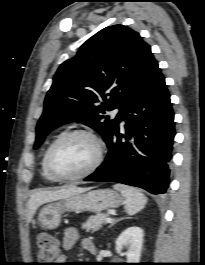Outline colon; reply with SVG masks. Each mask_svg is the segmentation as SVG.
Masks as SVG:
<instances>
[{"label":"colon","instance_id":"obj_1","mask_svg":"<svg viewBox=\"0 0 205 265\" xmlns=\"http://www.w3.org/2000/svg\"><path fill=\"white\" fill-rule=\"evenodd\" d=\"M59 243L57 239L47 233L37 237V256L40 265H52L59 255Z\"/></svg>","mask_w":205,"mask_h":265}]
</instances>
